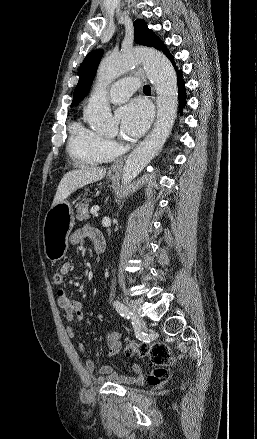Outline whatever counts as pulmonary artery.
I'll return each instance as SVG.
<instances>
[{"label": "pulmonary artery", "instance_id": "1", "mask_svg": "<svg viewBox=\"0 0 257 439\" xmlns=\"http://www.w3.org/2000/svg\"><path fill=\"white\" fill-rule=\"evenodd\" d=\"M138 79L127 77L116 81L109 89L108 98L112 103H122L138 88Z\"/></svg>", "mask_w": 257, "mask_h": 439}]
</instances>
